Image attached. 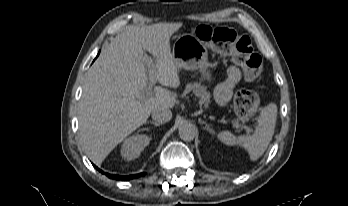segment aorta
Segmentation results:
<instances>
[{
    "label": "aorta",
    "mask_w": 348,
    "mask_h": 206,
    "mask_svg": "<svg viewBox=\"0 0 348 206\" xmlns=\"http://www.w3.org/2000/svg\"><path fill=\"white\" fill-rule=\"evenodd\" d=\"M178 133H179L180 138L183 141L189 142L195 138L196 130L192 124L185 122V123L180 124V126L178 128Z\"/></svg>",
    "instance_id": "obj_1"
}]
</instances>
